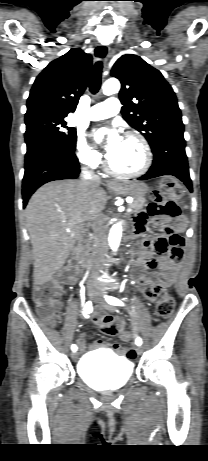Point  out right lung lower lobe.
<instances>
[{
  "label": "right lung lower lobe",
  "mask_w": 208,
  "mask_h": 461,
  "mask_svg": "<svg viewBox=\"0 0 208 461\" xmlns=\"http://www.w3.org/2000/svg\"><path fill=\"white\" fill-rule=\"evenodd\" d=\"M79 173L78 159L69 150L44 146L27 155L22 184L23 207L41 185L53 180L74 179Z\"/></svg>",
  "instance_id": "98d812e1"
}]
</instances>
